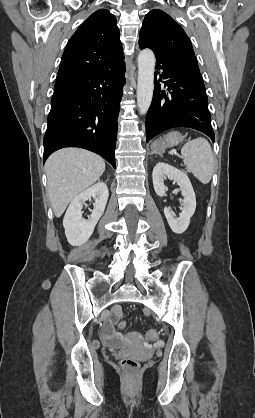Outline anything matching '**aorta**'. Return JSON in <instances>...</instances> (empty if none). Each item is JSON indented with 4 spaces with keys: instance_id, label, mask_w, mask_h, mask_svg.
I'll return each instance as SVG.
<instances>
[{
    "instance_id": "1",
    "label": "aorta",
    "mask_w": 255,
    "mask_h": 418,
    "mask_svg": "<svg viewBox=\"0 0 255 418\" xmlns=\"http://www.w3.org/2000/svg\"><path fill=\"white\" fill-rule=\"evenodd\" d=\"M155 55L150 49H144L138 56L137 105L141 115L147 113L154 90Z\"/></svg>"
}]
</instances>
